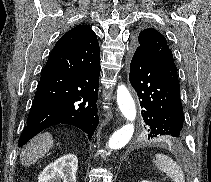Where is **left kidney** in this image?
Instances as JSON below:
<instances>
[{"label": "left kidney", "mask_w": 211, "mask_h": 182, "mask_svg": "<svg viewBox=\"0 0 211 182\" xmlns=\"http://www.w3.org/2000/svg\"><path fill=\"white\" fill-rule=\"evenodd\" d=\"M141 182H150V181H147V180H142Z\"/></svg>", "instance_id": "left-kidney-1"}]
</instances>
